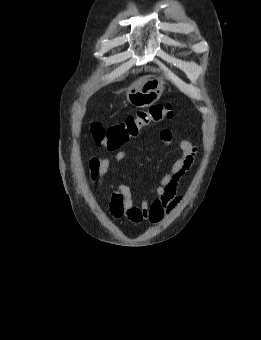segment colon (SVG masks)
I'll return each mask as SVG.
<instances>
[{
    "label": "colon",
    "instance_id": "5ec220e1",
    "mask_svg": "<svg viewBox=\"0 0 261 340\" xmlns=\"http://www.w3.org/2000/svg\"><path fill=\"white\" fill-rule=\"evenodd\" d=\"M173 108L170 103L154 104L147 110L137 111L123 122L105 127L99 122L90 125L91 135L97 145H103L109 150H115L137 137L141 130L151 124L172 119Z\"/></svg>",
    "mask_w": 261,
    "mask_h": 340
}]
</instances>
